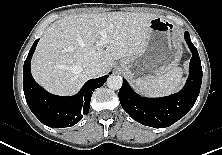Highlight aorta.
<instances>
[{"mask_svg": "<svg viewBox=\"0 0 222 155\" xmlns=\"http://www.w3.org/2000/svg\"><path fill=\"white\" fill-rule=\"evenodd\" d=\"M107 86L112 90H119L122 86L121 76L112 75L107 79Z\"/></svg>", "mask_w": 222, "mask_h": 155, "instance_id": "762f6f07", "label": "aorta"}]
</instances>
